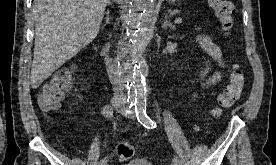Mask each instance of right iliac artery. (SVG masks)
<instances>
[{
    "mask_svg": "<svg viewBox=\"0 0 276 165\" xmlns=\"http://www.w3.org/2000/svg\"><path fill=\"white\" fill-rule=\"evenodd\" d=\"M136 104V99L135 100H128V106L129 108L133 107L134 105ZM103 115L107 118H112V115H113V111H112V108L111 106L109 105H106L104 108H103ZM108 159L107 157H105L104 159H102L98 165H106Z\"/></svg>",
    "mask_w": 276,
    "mask_h": 165,
    "instance_id": "obj_1",
    "label": "right iliac artery"
}]
</instances>
